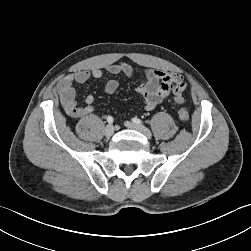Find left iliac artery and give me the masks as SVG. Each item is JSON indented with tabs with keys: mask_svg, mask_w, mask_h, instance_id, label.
Wrapping results in <instances>:
<instances>
[{
	"mask_svg": "<svg viewBox=\"0 0 251 251\" xmlns=\"http://www.w3.org/2000/svg\"><path fill=\"white\" fill-rule=\"evenodd\" d=\"M132 121L135 124H138V125H142L143 124V122L139 118H137V117L132 118Z\"/></svg>",
	"mask_w": 251,
	"mask_h": 251,
	"instance_id": "obj_1",
	"label": "left iliac artery"
}]
</instances>
